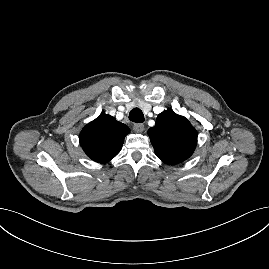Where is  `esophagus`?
<instances>
[{"label": "esophagus", "mask_w": 269, "mask_h": 269, "mask_svg": "<svg viewBox=\"0 0 269 269\" xmlns=\"http://www.w3.org/2000/svg\"><path fill=\"white\" fill-rule=\"evenodd\" d=\"M133 129H134L136 132H143L144 129H145V126H144V124H142V123H136V124H134Z\"/></svg>", "instance_id": "34e87169"}]
</instances>
